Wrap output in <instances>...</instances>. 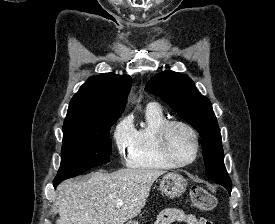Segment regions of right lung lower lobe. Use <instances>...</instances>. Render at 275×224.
Listing matches in <instances>:
<instances>
[{"mask_svg":"<svg viewBox=\"0 0 275 224\" xmlns=\"http://www.w3.org/2000/svg\"><path fill=\"white\" fill-rule=\"evenodd\" d=\"M60 182H54L53 186L54 188H56V186L59 184Z\"/></svg>","mask_w":275,"mask_h":224,"instance_id":"right-lung-lower-lobe-1","label":"right lung lower lobe"}]
</instances>
